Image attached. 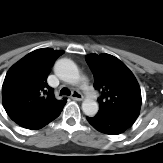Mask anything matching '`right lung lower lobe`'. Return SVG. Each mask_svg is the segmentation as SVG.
Segmentation results:
<instances>
[{
    "instance_id": "98d812e1",
    "label": "right lung lower lobe",
    "mask_w": 163,
    "mask_h": 163,
    "mask_svg": "<svg viewBox=\"0 0 163 163\" xmlns=\"http://www.w3.org/2000/svg\"><path fill=\"white\" fill-rule=\"evenodd\" d=\"M62 109L63 108L47 115L22 116L13 121L27 129H39L56 119L60 115Z\"/></svg>"
}]
</instances>
